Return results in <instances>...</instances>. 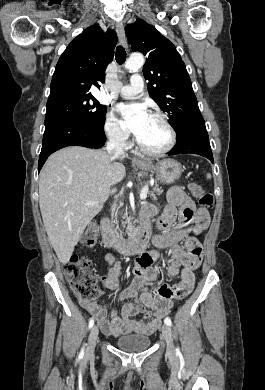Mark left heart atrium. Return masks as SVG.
I'll return each instance as SVG.
<instances>
[{
	"mask_svg": "<svg viewBox=\"0 0 265 390\" xmlns=\"http://www.w3.org/2000/svg\"><path fill=\"white\" fill-rule=\"evenodd\" d=\"M117 110L126 129L138 137L149 118L145 107L140 104H120Z\"/></svg>",
	"mask_w": 265,
	"mask_h": 390,
	"instance_id": "left-heart-atrium-1",
	"label": "left heart atrium"
}]
</instances>
